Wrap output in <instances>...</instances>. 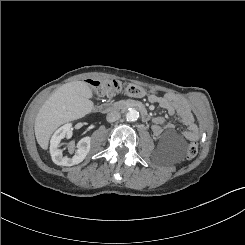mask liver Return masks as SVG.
Segmentation results:
<instances>
[{
    "label": "liver",
    "mask_w": 245,
    "mask_h": 245,
    "mask_svg": "<svg viewBox=\"0 0 245 245\" xmlns=\"http://www.w3.org/2000/svg\"><path fill=\"white\" fill-rule=\"evenodd\" d=\"M92 96L86 82L74 81L62 85L45 101L34 125L35 136L42 149H48L50 137L59 126L83 118L93 110Z\"/></svg>",
    "instance_id": "obj_1"
}]
</instances>
